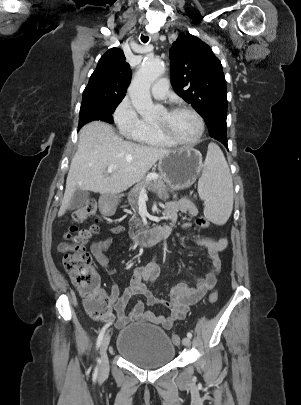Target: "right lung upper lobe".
<instances>
[{
	"mask_svg": "<svg viewBox=\"0 0 301 405\" xmlns=\"http://www.w3.org/2000/svg\"><path fill=\"white\" fill-rule=\"evenodd\" d=\"M130 78V65L125 61L123 51L112 48L99 60L83 92L82 99L95 96L123 99Z\"/></svg>",
	"mask_w": 301,
	"mask_h": 405,
	"instance_id": "right-lung-upper-lobe-1",
	"label": "right lung upper lobe"
}]
</instances>
